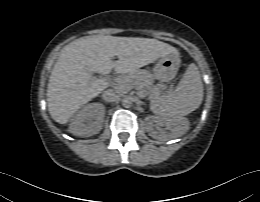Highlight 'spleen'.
Listing matches in <instances>:
<instances>
[{"mask_svg":"<svg viewBox=\"0 0 260 202\" xmlns=\"http://www.w3.org/2000/svg\"><path fill=\"white\" fill-rule=\"evenodd\" d=\"M203 100V84L200 72L191 63L173 93L154 99L151 111L160 118H181L196 110ZM183 129L177 136L185 133Z\"/></svg>","mask_w":260,"mask_h":202,"instance_id":"obj_1","label":"spleen"}]
</instances>
